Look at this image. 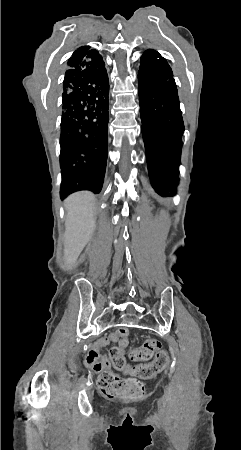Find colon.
<instances>
[{
	"mask_svg": "<svg viewBox=\"0 0 241 450\" xmlns=\"http://www.w3.org/2000/svg\"><path fill=\"white\" fill-rule=\"evenodd\" d=\"M159 349H161L160 341L149 339L141 347L133 348L130 351V357L134 360L149 361L153 352ZM110 360L116 370H128L132 374H139L141 378L153 379L165 368L168 357L165 352H161L155 356L154 360L138 369H129L125 365V353L120 348L114 347L110 350ZM97 385L101 395L106 400H140L145 395L142 382L120 377L109 370L102 371L101 376L97 377Z\"/></svg>",
	"mask_w": 241,
	"mask_h": 450,
	"instance_id": "colon-1",
	"label": "colon"
}]
</instances>
